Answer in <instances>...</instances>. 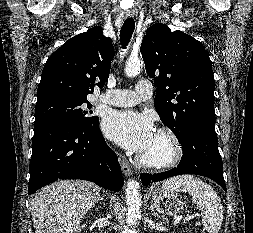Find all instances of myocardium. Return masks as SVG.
<instances>
[{
	"instance_id": "1",
	"label": "myocardium",
	"mask_w": 253,
	"mask_h": 233,
	"mask_svg": "<svg viewBox=\"0 0 253 233\" xmlns=\"http://www.w3.org/2000/svg\"><path fill=\"white\" fill-rule=\"evenodd\" d=\"M156 134L168 144V152L162 157L138 156V162L147 168L167 169L178 164L183 156V147L177 134L168 127H161Z\"/></svg>"
}]
</instances>
